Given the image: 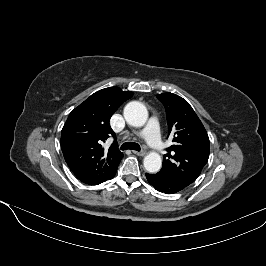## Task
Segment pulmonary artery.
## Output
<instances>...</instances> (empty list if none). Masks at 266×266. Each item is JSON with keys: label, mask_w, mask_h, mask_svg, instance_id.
Wrapping results in <instances>:
<instances>
[{"label": "pulmonary artery", "mask_w": 266, "mask_h": 266, "mask_svg": "<svg viewBox=\"0 0 266 266\" xmlns=\"http://www.w3.org/2000/svg\"><path fill=\"white\" fill-rule=\"evenodd\" d=\"M139 135L146 140L153 150L159 153L163 152V143L161 141L159 124L155 119L150 120L146 127L139 132Z\"/></svg>", "instance_id": "pulmonary-artery-1"}]
</instances>
